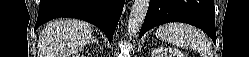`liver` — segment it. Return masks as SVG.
Here are the masks:
<instances>
[{"mask_svg":"<svg viewBox=\"0 0 249 57\" xmlns=\"http://www.w3.org/2000/svg\"><path fill=\"white\" fill-rule=\"evenodd\" d=\"M90 24L77 19H60L43 29L38 41V57H70L92 40Z\"/></svg>","mask_w":249,"mask_h":57,"instance_id":"obj_1","label":"liver"}]
</instances>
